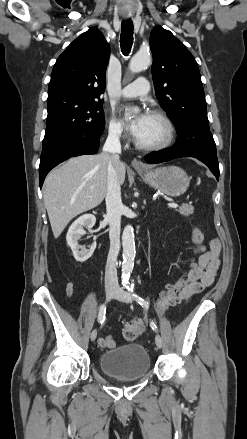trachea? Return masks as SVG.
Segmentation results:
<instances>
[{"mask_svg": "<svg viewBox=\"0 0 247 439\" xmlns=\"http://www.w3.org/2000/svg\"><path fill=\"white\" fill-rule=\"evenodd\" d=\"M133 44V23L131 19L122 21L120 46L122 53L128 55Z\"/></svg>", "mask_w": 247, "mask_h": 439, "instance_id": "trachea-1", "label": "trachea"}]
</instances>
